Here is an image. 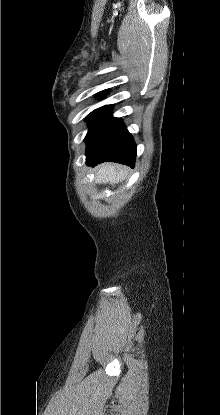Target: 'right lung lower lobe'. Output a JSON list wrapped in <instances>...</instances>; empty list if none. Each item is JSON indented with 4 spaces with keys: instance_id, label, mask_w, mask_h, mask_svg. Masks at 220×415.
<instances>
[{
    "instance_id": "98d812e1",
    "label": "right lung lower lobe",
    "mask_w": 220,
    "mask_h": 415,
    "mask_svg": "<svg viewBox=\"0 0 220 415\" xmlns=\"http://www.w3.org/2000/svg\"><path fill=\"white\" fill-rule=\"evenodd\" d=\"M136 145L131 134L119 118H112L95 145L86 151V164L95 166L113 161L134 166Z\"/></svg>"
}]
</instances>
